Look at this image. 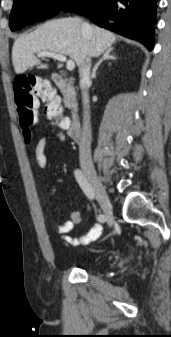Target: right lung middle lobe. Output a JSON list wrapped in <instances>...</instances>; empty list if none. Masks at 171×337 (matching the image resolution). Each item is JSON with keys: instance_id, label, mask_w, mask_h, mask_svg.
Returning a JSON list of instances; mask_svg holds the SVG:
<instances>
[{"instance_id": "dd1d6c3e", "label": "right lung middle lobe", "mask_w": 171, "mask_h": 337, "mask_svg": "<svg viewBox=\"0 0 171 337\" xmlns=\"http://www.w3.org/2000/svg\"><path fill=\"white\" fill-rule=\"evenodd\" d=\"M75 0H14L9 18L12 31L51 18ZM41 7L46 10L43 12Z\"/></svg>"}]
</instances>
